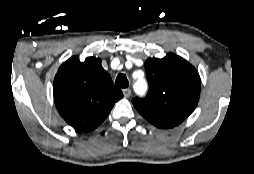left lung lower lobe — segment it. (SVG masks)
I'll use <instances>...</instances> for the list:
<instances>
[{"label": "left lung lower lobe", "instance_id": "left-lung-lower-lobe-1", "mask_svg": "<svg viewBox=\"0 0 254 174\" xmlns=\"http://www.w3.org/2000/svg\"><path fill=\"white\" fill-rule=\"evenodd\" d=\"M145 119L148 120L150 123H152L154 126L158 128H162V129L173 128L180 124V123H176V122H172L168 120H158L154 118H145Z\"/></svg>", "mask_w": 254, "mask_h": 174}]
</instances>
